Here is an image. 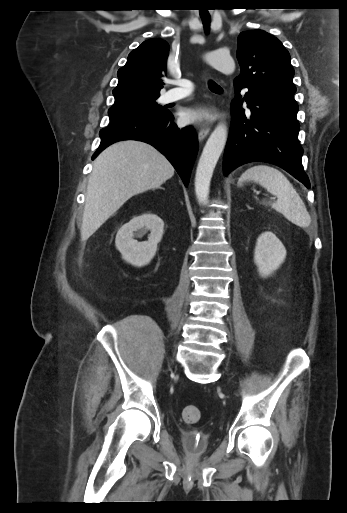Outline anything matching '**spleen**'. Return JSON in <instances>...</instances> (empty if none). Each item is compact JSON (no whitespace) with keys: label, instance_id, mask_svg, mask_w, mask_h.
Returning <instances> with one entry per match:
<instances>
[{"label":"spleen","instance_id":"obj_1","mask_svg":"<svg viewBox=\"0 0 347 513\" xmlns=\"http://www.w3.org/2000/svg\"><path fill=\"white\" fill-rule=\"evenodd\" d=\"M244 182H255L275 195V202H263L283 214L289 221L306 228L311 217L303 200L288 178L278 169L268 165L253 166L246 170L239 179V186Z\"/></svg>","mask_w":347,"mask_h":513}]
</instances>
